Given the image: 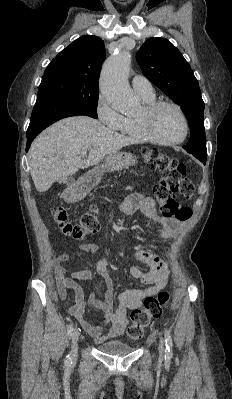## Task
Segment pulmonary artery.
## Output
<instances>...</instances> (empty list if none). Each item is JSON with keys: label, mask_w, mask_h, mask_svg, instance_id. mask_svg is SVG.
I'll list each match as a JSON object with an SVG mask.
<instances>
[{"label": "pulmonary artery", "mask_w": 232, "mask_h": 399, "mask_svg": "<svg viewBox=\"0 0 232 399\" xmlns=\"http://www.w3.org/2000/svg\"><path fill=\"white\" fill-rule=\"evenodd\" d=\"M130 83L134 84V88H139L137 89V96H154V83L145 81L144 73H133L132 77L130 78Z\"/></svg>", "instance_id": "1"}]
</instances>
